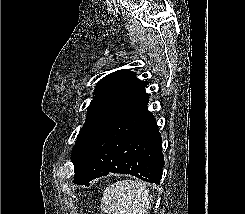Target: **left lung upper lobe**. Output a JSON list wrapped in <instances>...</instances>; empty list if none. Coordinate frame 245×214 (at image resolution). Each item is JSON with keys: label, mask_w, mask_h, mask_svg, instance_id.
I'll return each mask as SVG.
<instances>
[{"label": "left lung upper lobe", "mask_w": 245, "mask_h": 214, "mask_svg": "<svg viewBox=\"0 0 245 214\" xmlns=\"http://www.w3.org/2000/svg\"><path fill=\"white\" fill-rule=\"evenodd\" d=\"M146 86L147 82L137 79L134 72L126 69L108 74L97 83L86 122L73 146V164L109 125L149 97Z\"/></svg>", "instance_id": "5c2ea615"}]
</instances>
